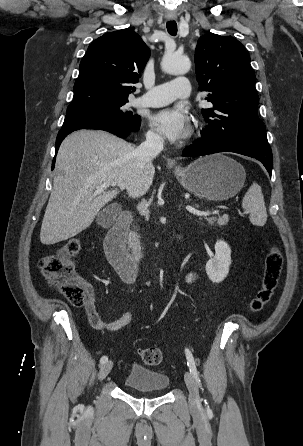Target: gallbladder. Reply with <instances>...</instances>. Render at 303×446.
<instances>
[{"label":"gallbladder","mask_w":303,"mask_h":446,"mask_svg":"<svg viewBox=\"0 0 303 446\" xmlns=\"http://www.w3.org/2000/svg\"><path fill=\"white\" fill-rule=\"evenodd\" d=\"M107 213L106 212H101L98 215V221L100 224H104L105 223V217H106Z\"/></svg>","instance_id":"bac80fb5"}]
</instances>
